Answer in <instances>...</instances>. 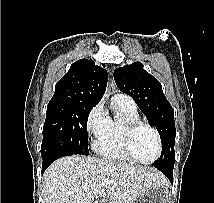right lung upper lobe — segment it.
<instances>
[{
	"label": "right lung upper lobe",
	"instance_id": "cb5924a9",
	"mask_svg": "<svg viewBox=\"0 0 214 203\" xmlns=\"http://www.w3.org/2000/svg\"><path fill=\"white\" fill-rule=\"evenodd\" d=\"M108 75L94 61L81 59L56 83L51 101L97 105L103 97Z\"/></svg>",
	"mask_w": 214,
	"mask_h": 203
}]
</instances>
